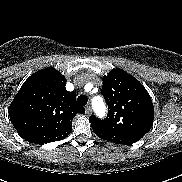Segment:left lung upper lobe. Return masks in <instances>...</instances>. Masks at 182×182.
Returning <instances> with one entry per match:
<instances>
[{
  "label": "left lung upper lobe",
  "mask_w": 182,
  "mask_h": 182,
  "mask_svg": "<svg viewBox=\"0 0 182 182\" xmlns=\"http://www.w3.org/2000/svg\"><path fill=\"white\" fill-rule=\"evenodd\" d=\"M101 93L109 112L101 120L89 118L97 128L140 140L153 125L154 107L145 87L122 69H113L103 77Z\"/></svg>",
  "instance_id": "left-lung-upper-lobe-1"
}]
</instances>
